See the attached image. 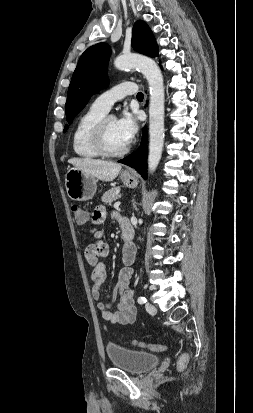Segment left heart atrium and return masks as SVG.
<instances>
[{"mask_svg":"<svg viewBox=\"0 0 253 413\" xmlns=\"http://www.w3.org/2000/svg\"><path fill=\"white\" fill-rule=\"evenodd\" d=\"M116 128L125 144H129L132 142L138 131L136 117L130 112H123L120 118L116 121Z\"/></svg>","mask_w":253,"mask_h":413,"instance_id":"39dd6f15","label":"left heart atrium"}]
</instances>
